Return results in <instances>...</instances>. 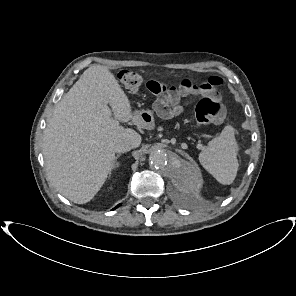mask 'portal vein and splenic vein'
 I'll return each mask as SVG.
<instances>
[{
  "mask_svg": "<svg viewBox=\"0 0 296 296\" xmlns=\"http://www.w3.org/2000/svg\"><path fill=\"white\" fill-rule=\"evenodd\" d=\"M114 122H115V124H116V125H118V124H119V121H117V120H114Z\"/></svg>",
  "mask_w": 296,
  "mask_h": 296,
  "instance_id": "1",
  "label": "portal vein and splenic vein"
}]
</instances>
